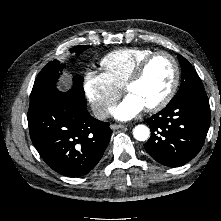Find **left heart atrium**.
Listing matches in <instances>:
<instances>
[{
    "instance_id": "1",
    "label": "left heart atrium",
    "mask_w": 221,
    "mask_h": 221,
    "mask_svg": "<svg viewBox=\"0 0 221 221\" xmlns=\"http://www.w3.org/2000/svg\"><path fill=\"white\" fill-rule=\"evenodd\" d=\"M145 108L135 95L128 94L119 104L111 109V114L119 120H129Z\"/></svg>"
}]
</instances>
